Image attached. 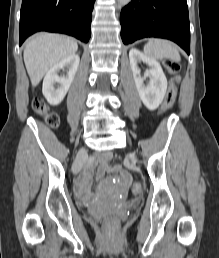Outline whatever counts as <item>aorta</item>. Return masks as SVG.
<instances>
[{
	"instance_id": "1",
	"label": "aorta",
	"mask_w": 219,
	"mask_h": 258,
	"mask_svg": "<svg viewBox=\"0 0 219 258\" xmlns=\"http://www.w3.org/2000/svg\"><path fill=\"white\" fill-rule=\"evenodd\" d=\"M131 0H118V3L121 5V6H125L127 5L128 3H130Z\"/></svg>"
}]
</instances>
